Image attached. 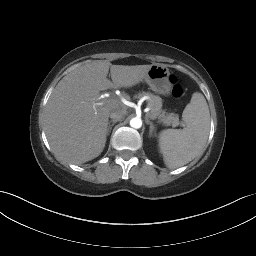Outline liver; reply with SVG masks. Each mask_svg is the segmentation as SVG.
Wrapping results in <instances>:
<instances>
[{
	"label": "liver",
	"instance_id": "liver-1",
	"mask_svg": "<svg viewBox=\"0 0 256 256\" xmlns=\"http://www.w3.org/2000/svg\"><path fill=\"white\" fill-rule=\"evenodd\" d=\"M151 66L93 61L63 77L53 90L44 115L46 136L56 159L82 164L98 157L105 147L108 118L113 110L101 99L100 92L138 84ZM109 69L112 82L107 79Z\"/></svg>",
	"mask_w": 256,
	"mask_h": 256
}]
</instances>
